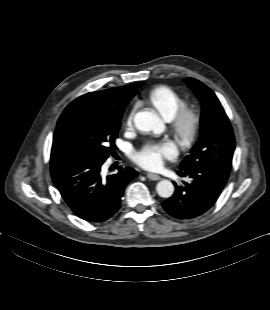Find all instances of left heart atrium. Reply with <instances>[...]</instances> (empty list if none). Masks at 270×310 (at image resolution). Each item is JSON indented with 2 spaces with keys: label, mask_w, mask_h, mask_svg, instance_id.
<instances>
[{
  "label": "left heart atrium",
  "mask_w": 270,
  "mask_h": 310,
  "mask_svg": "<svg viewBox=\"0 0 270 310\" xmlns=\"http://www.w3.org/2000/svg\"><path fill=\"white\" fill-rule=\"evenodd\" d=\"M176 155V149L170 142L149 143L135 153L134 160L146 169L160 167L164 160L172 159Z\"/></svg>",
  "instance_id": "1"
}]
</instances>
